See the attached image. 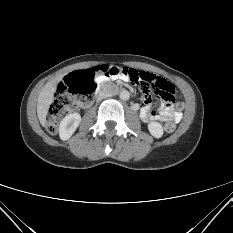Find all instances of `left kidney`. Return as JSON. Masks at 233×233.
Masks as SVG:
<instances>
[{"label": "left kidney", "mask_w": 233, "mask_h": 233, "mask_svg": "<svg viewBox=\"0 0 233 233\" xmlns=\"http://www.w3.org/2000/svg\"><path fill=\"white\" fill-rule=\"evenodd\" d=\"M148 130L155 138H161L164 133L162 125L159 122L154 121L148 124Z\"/></svg>", "instance_id": "obj_1"}]
</instances>
